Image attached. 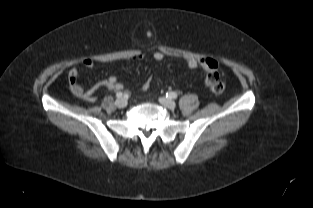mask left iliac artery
Masks as SVG:
<instances>
[{
  "mask_svg": "<svg viewBox=\"0 0 313 208\" xmlns=\"http://www.w3.org/2000/svg\"><path fill=\"white\" fill-rule=\"evenodd\" d=\"M166 96L171 99H176L178 97V95L175 92H168Z\"/></svg>",
  "mask_w": 313,
  "mask_h": 208,
  "instance_id": "1",
  "label": "left iliac artery"
}]
</instances>
